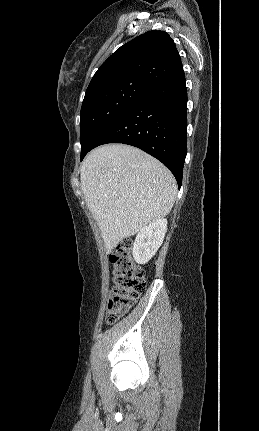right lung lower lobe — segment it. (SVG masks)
Returning a JSON list of instances; mask_svg holds the SVG:
<instances>
[{
	"mask_svg": "<svg viewBox=\"0 0 259 431\" xmlns=\"http://www.w3.org/2000/svg\"><path fill=\"white\" fill-rule=\"evenodd\" d=\"M186 128L187 89L182 73L149 88L107 126L90 150L106 143L138 147L170 169L180 188L187 154Z\"/></svg>",
	"mask_w": 259,
	"mask_h": 431,
	"instance_id": "right-lung-lower-lobe-1",
	"label": "right lung lower lobe"
}]
</instances>
